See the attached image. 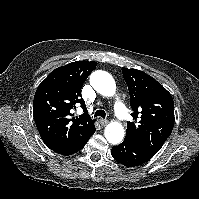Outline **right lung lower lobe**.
Listing matches in <instances>:
<instances>
[{"instance_id": "1", "label": "right lung lower lobe", "mask_w": 199, "mask_h": 199, "mask_svg": "<svg viewBox=\"0 0 199 199\" xmlns=\"http://www.w3.org/2000/svg\"><path fill=\"white\" fill-rule=\"evenodd\" d=\"M96 131L95 127L90 131V133L84 137L81 140H78L76 142L70 143V144H64V143H53V144H46L51 150L54 152L67 156L71 155L73 153L78 152L81 150L86 142L89 140V138L94 134Z\"/></svg>"}]
</instances>
